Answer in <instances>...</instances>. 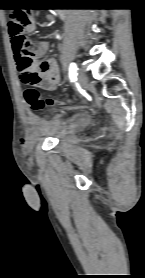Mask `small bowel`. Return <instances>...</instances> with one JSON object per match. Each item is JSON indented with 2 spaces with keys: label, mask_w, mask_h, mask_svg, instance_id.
<instances>
[{
  "label": "small bowel",
  "mask_w": 145,
  "mask_h": 278,
  "mask_svg": "<svg viewBox=\"0 0 145 278\" xmlns=\"http://www.w3.org/2000/svg\"><path fill=\"white\" fill-rule=\"evenodd\" d=\"M27 29L29 32H33L35 30V22L33 19H31V24L27 27ZM11 47H12L16 69L19 72L22 80L25 74L39 68L41 69L42 89L47 91H53L57 88L60 82V72L56 60L49 59L46 62L42 61L43 55L49 49L48 42H41L35 48V54L39 59V61L36 60V58L33 57L32 55H28L27 49L23 47L15 46L12 39H11ZM28 120L30 124L33 125L37 124L39 121L38 118L32 113L28 114Z\"/></svg>",
  "instance_id": "c3829d8e"
}]
</instances>
